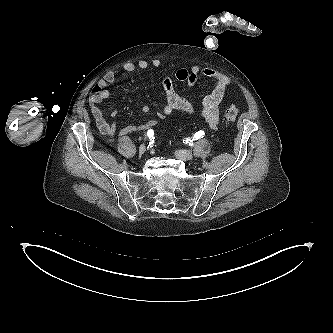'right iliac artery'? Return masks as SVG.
Here are the masks:
<instances>
[{
  "label": "right iliac artery",
  "instance_id": "1",
  "mask_svg": "<svg viewBox=\"0 0 333 333\" xmlns=\"http://www.w3.org/2000/svg\"><path fill=\"white\" fill-rule=\"evenodd\" d=\"M147 136L150 138H152L154 136V131L152 129L147 131Z\"/></svg>",
  "mask_w": 333,
  "mask_h": 333
}]
</instances>
